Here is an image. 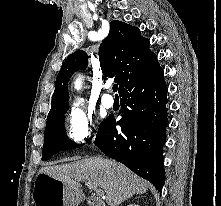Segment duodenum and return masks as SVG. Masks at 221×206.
I'll return each instance as SVG.
<instances>
[{
	"label": "duodenum",
	"instance_id": "1",
	"mask_svg": "<svg viewBox=\"0 0 221 206\" xmlns=\"http://www.w3.org/2000/svg\"><path fill=\"white\" fill-rule=\"evenodd\" d=\"M86 202L88 206H105L104 203L95 196H89Z\"/></svg>",
	"mask_w": 221,
	"mask_h": 206
}]
</instances>
